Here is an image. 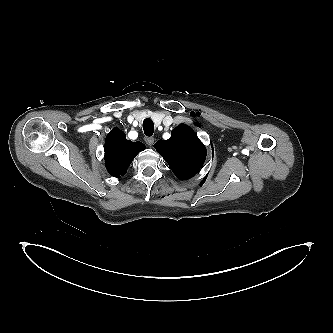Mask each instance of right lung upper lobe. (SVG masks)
Here are the masks:
<instances>
[{
  "mask_svg": "<svg viewBox=\"0 0 333 333\" xmlns=\"http://www.w3.org/2000/svg\"><path fill=\"white\" fill-rule=\"evenodd\" d=\"M146 149L141 142H132L118 128L111 130L105 139V162L109 174L120 178L125 175L134 157Z\"/></svg>",
  "mask_w": 333,
  "mask_h": 333,
  "instance_id": "1",
  "label": "right lung upper lobe"
}]
</instances>
